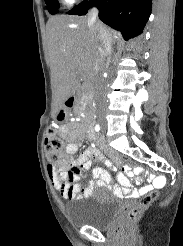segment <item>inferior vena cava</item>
Segmentation results:
<instances>
[{
  "mask_svg": "<svg viewBox=\"0 0 183 246\" xmlns=\"http://www.w3.org/2000/svg\"><path fill=\"white\" fill-rule=\"evenodd\" d=\"M89 25L94 30L97 38L100 42V52L99 57L95 66L96 72V104L98 110H103L107 106L106 93H105V83L103 79V71L107 67L111 55V44L112 39L104 27V25L98 20V9L93 8L88 14Z\"/></svg>",
  "mask_w": 183,
  "mask_h": 246,
  "instance_id": "obj_1",
  "label": "inferior vena cava"
}]
</instances>
